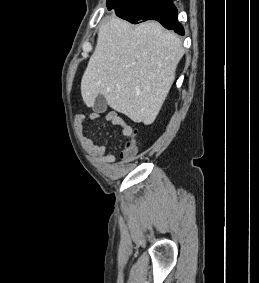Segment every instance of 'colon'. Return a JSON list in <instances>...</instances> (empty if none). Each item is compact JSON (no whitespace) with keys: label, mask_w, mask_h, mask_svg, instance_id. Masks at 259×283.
<instances>
[{"label":"colon","mask_w":259,"mask_h":283,"mask_svg":"<svg viewBox=\"0 0 259 283\" xmlns=\"http://www.w3.org/2000/svg\"><path fill=\"white\" fill-rule=\"evenodd\" d=\"M136 151H137L136 141L134 138H131L130 140L126 142L124 146L122 157L125 160H130L135 156Z\"/></svg>","instance_id":"1"}]
</instances>
